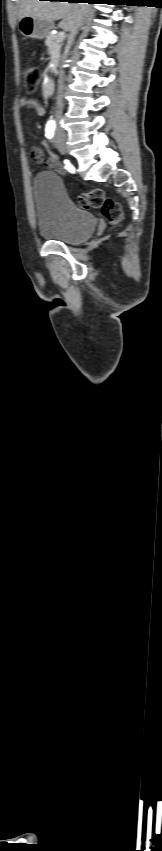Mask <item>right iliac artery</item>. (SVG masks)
Listing matches in <instances>:
<instances>
[{"label":"right iliac artery","mask_w":162,"mask_h":851,"mask_svg":"<svg viewBox=\"0 0 162 851\" xmlns=\"http://www.w3.org/2000/svg\"><path fill=\"white\" fill-rule=\"evenodd\" d=\"M55 125L47 124L45 128V135L48 139H51L54 135Z\"/></svg>","instance_id":"right-iliac-artery-1"}]
</instances>
